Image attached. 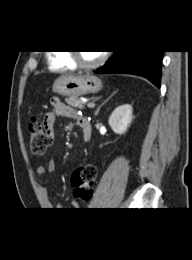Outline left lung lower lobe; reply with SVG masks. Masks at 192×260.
Segmentation results:
<instances>
[{
    "instance_id": "0a47b994",
    "label": "left lung lower lobe",
    "mask_w": 192,
    "mask_h": 260,
    "mask_svg": "<svg viewBox=\"0 0 192 260\" xmlns=\"http://www.w3.org/2000/svg\"><path fill=\"white\" fill-rule=\"evenodd\" d=\"M164 51H116L96 73H125L147 78L160 87L161 60Z\"/></svg>"
}]
</instances>
